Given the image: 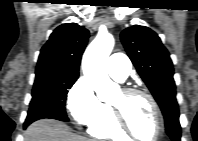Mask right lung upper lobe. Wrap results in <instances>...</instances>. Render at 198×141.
<instances>
[{"instance_id":"1","label":"right lung upper lobe","mask_w":198,"mask_h":141,"mask_svg":"<svg viewBox=\"0 0 198 141\" xmlns=\"http://www.w3.org/2000/svg\"><path fill=\"white\" fill-rule=\"evenodd\" d=\"M89 38V31L76 23L57 27L41 49L36 75H79L81 56Z\"/></svg>"}]
</instances>
